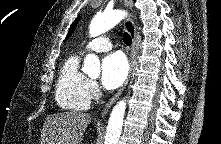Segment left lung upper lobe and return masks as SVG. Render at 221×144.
<instances>
[{"mask_svg": "<svg viewBox=\"0 0 221 144\" xmlns=\"http://www.w3.org/2000/svg\"><path fill=\"white\" fill-rule=\"evenodd\" d=\"M78 21H79V17L72 23V25H71V27L69 29L68 35H67L65 40H67L71 36V34L73 33V31H74Z\"/></svg>", "mask_w": 221, "mask_h": 144, "instance_id": "5c2ea615", "label": "left lung upper lobe"}]
</instances>
